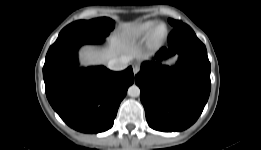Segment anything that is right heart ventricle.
Masks as SVG:
<instances>
[{"label":"right heart ventricle","mask_w":261,"mask_h":150,"mask_svg":"<svg viewBox=\"0 0 261 150\" xmlns=\"http://www.w3.org/2000/svg\"><path fill=\"white\" fill-rule=\"evenodd\" d=\"M157 24L155 20H147L135 24L128 30V36L131 39H140L150 34L153 27Z\"/></svg>","instance_id":"e07e8e85"}]
</instances>
